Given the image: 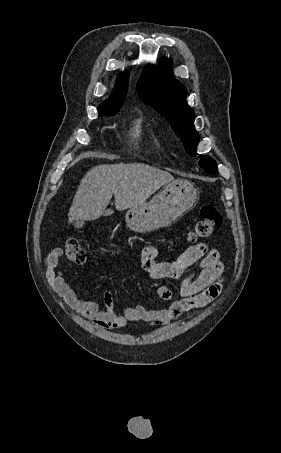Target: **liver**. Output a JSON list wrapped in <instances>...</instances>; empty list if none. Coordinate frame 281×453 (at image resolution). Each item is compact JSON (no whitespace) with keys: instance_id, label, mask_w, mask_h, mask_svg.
<instances>
[{"instance_id":"liver-1","label":"liver","mask_w":281,"mask_h":453,"mask_svg":"<svg viewBox=\"0 0 281 453\" xmlns=\"http://www.w3.org/2000/svg\"><path fill=\"white\" fill-rule=\"evenodd\" d=\"M174 180L166 170L143 162L98 164L84 174L68 212V222L95 220L114 210L107 208L112 194L117 210L133 208L145 202L160 186Z\"/></svg>"}]
</instances>
